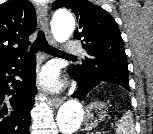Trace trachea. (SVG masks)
<instances>
[{"instance_id":"1","label":"trachea","mask_w":153,"mask_h":134,"mask_svg":"<svg viewBox=\"0 0 153 134\" xmlns=\"http://www.w3.org/2000/svg\"><path fill=\"white\" fill-rule=\"evenodd\" d=\"M30 50L32 53H36L39 50H41V51H44L52 56L74 57L71 54H67V53L49 45L46 38H45L44 32L41 30L38 32L37 39L34 41Z\"/></svg>"}]
</instances>
